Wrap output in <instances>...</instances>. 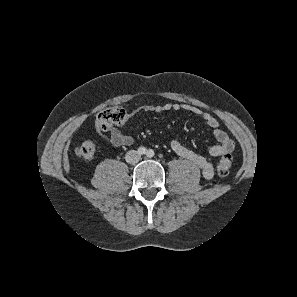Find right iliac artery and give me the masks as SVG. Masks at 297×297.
Segmentation results:
<instances>
[{
    "instance_id": "82829eb1",
    "label": "right iliac artery",
    "mask_w": 297,
    "mask_h": 297,
    "mask_svg": "<svg viewBox=\"0 0 297 297\" xmlns=\"http://www.w3.org/2000/svg\"><path fill=\"white\" fill-rule=\"evenodd\" d=\"M138 152H139V154H145L146 153V148L145 147H139Z\"/></svg>"
}]
</instances>
